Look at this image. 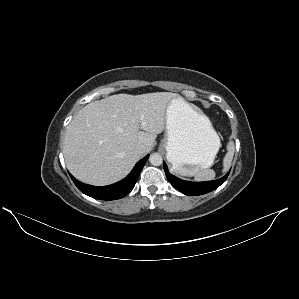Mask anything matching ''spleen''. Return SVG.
<instances>
[{
    "instance_id": "obj_1",
    "label": "spleen",
    "mask_w": 299,
    "mask_h": 299,
    "mask_svg": "<svg viewBox=\"0 0 299 299\" xmlns=\"http://www.w3.org/2000/svg\"><path fill=\"white\" fill-rule=\"evenodd\" d=\"M234 151H235L234 142L229 141L227 144V153L223 159V167H224L223 171L224 172L227 171L231 166ZM193 175L195 176V180H197V181H210L215 178V172L212 169H203V170L196 172Z\"/></svg>"
}]
</instances>
